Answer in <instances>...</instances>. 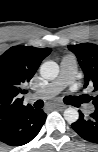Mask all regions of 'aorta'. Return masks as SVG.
Segmentation results:
<instances>
[{"label": "aorta", "instance_id": "762f6f07", "mask_svg": "<svg viewBox=\"0 0 98 152\" xmlns=\"http://www.w3.org/2000/svg\"><path fill=\"white\" fill-rule=\"evenodd\" d=\"M59 74V66L56 62L47 61L40 66V75L47 80L55 79ZM66 120L74 121L78 118V112L74 108H67L64 111Z\"/></svg>", "mask_w": 98, "mask_h": 152}]
</instances>
